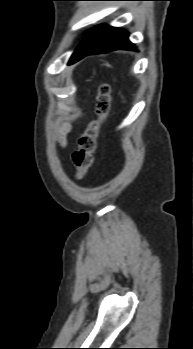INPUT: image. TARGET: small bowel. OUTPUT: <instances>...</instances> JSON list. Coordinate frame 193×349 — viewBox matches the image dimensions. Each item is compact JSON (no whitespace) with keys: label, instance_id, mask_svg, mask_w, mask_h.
I'll use <instances>...</instances> for the list:
<instances>
[{"label":"small bowel","instance_id":"c3829d8e","mask_svg":"<svg viewBox=\"0 0 193 349\" xmlns=\"http://www.w3.org/2000/svg\"><path fill=\"white\" fill-rule=\"evenodd\" d=\"M71 128H72V126L69 123L65 124L62 127L60 135H59V142L62 146L67 145V134L70 132Z\"/></svg>","mask_w":193,"mask_h":349}]
</instances>
